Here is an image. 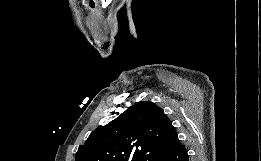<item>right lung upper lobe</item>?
Returning <instances> with one entry per match:
<instances>
[{"instance_id":"right-lung-upper-lobe-1","label":"right lung upper lobe","mask_w":261,"mask_h":161,"mask_svg":"<svg viewBox=\"0 0 261 161\" xmlns=\"http://www.w3.org/2000/svg\"><path fill=\"white\" fill-rule=\"evenodd\" d=\"M179 145L163 110L150 101H140L96 128L79 146L75 161H150Z\"/></svg>"}]
</instances>
